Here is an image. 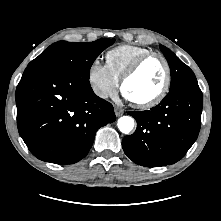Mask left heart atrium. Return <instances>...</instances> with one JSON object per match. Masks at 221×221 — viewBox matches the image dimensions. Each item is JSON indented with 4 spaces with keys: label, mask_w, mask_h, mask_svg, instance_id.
Wrapping results in <instances>:
<instances>
[{
    "label": "left heart atrium",
    "mask_w": 221,
    "mask_h": 221,
    "mask_svg": "<svg viewBox=\"0 0 221 221\" xmlns=\"http://www.w3.org/2000/svg\"><path fill=\"white\" fill-rule=\"evenodd\" d=\"M124 96L128 99V100H130V98L127 96V94L124 92Z\"/></svg>",
    "instance_id": "1"
}]
</instances>
